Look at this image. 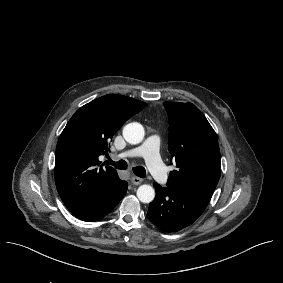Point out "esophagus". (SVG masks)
Segmentation results:
<instances>
[{
    "instance_id": "34e87169",
    "label": "esophagus",
    "mask_w": 283,
    "mask_h": 283,
    "mask_svg": "<svg viewBox=\"0 0 283 283\" xmlns=\"http://www.w3.org/2000/svg\"><path fill=\"white\" fill-rule=\"evenodd\" d=\"M142 182H143V180H142L141 178H139V177L133 176V177L131 178V183H132L133 185H139V184H141Z\"/></svg>"
}]
</instances>
